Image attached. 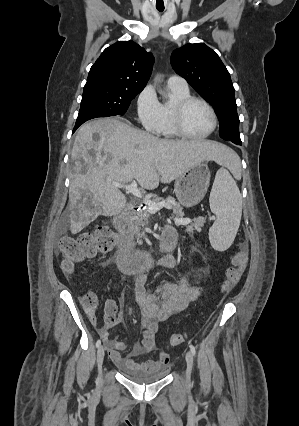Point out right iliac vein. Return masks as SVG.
Returning <instances> with one entry per match:
<instances>
[{
  "label": "right iliac vein",
  "instance_id": "63e3f726",
  "mask_svg": "<svg viewBox=\"0 0 299 426\" xmlns=\"http://www.w3.org/2000/svg\"><path fill=\"white\" fill-rule=\"evenodd\" d=\"M104 354H105L104 346H99L97 350V366H98L99 380H101V376H102V364L104 360Z\"/></svg>",
  "mask_w": 299,
  "mask_h": 426
}]
</instances>
